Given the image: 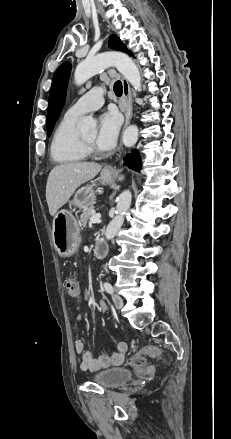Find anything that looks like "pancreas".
I'll use <instances>...</instances> for the list:
<instances>
[{"mask_svg":"<svg viewBox=\"0 0 231 439\" xmlns=\"http://www.w3.org/2000/svg\"><path fill=\"white\" fill-rule=\"evenodd\" d=\"M94 214H95L94 207H89V208L85 209V210L83 211V213L81 214V216H80V222H81V224H82L83 226H84V225H87V223L89 222L91 216L94 215Z\"/></svg>","mask_w":231,"mask_h":439,"instance_id":"cf45deb5","label":"pancreas"}]
</instances>
